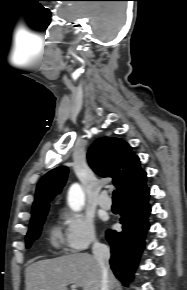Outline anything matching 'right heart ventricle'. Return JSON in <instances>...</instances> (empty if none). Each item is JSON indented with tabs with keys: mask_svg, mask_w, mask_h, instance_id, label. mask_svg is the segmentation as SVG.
Returning <instances> with one entry per match:
<instances>
[{
	"mask_svg": "<svg viewBox=\"0 0 187 290\" xmlns=\"http://www.w3.org/2000/svg\"><path fill=\"white\" fill-rule=\"evenodd\" d=\"M51 241H52V244L54 246H58L60 244L61 237H60L59 231L57 229H54L52 231Z\"/></svg>",
	"mask_w": 187,
	"mask_h": 290,
	"instance_id": "obj_1",
	"label": "right heart ventricle"
}]
</instances>
